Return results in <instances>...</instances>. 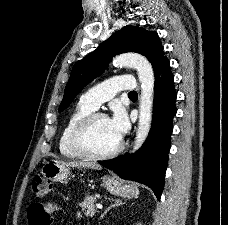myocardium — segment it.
Here are the masks:
<instances>
[{
	"instance_id": "obj_1",
	"label": "myocardium",
	"mask_w": 228,
	"mask_h": 225,
	"mask_svg": "<svg viewBox=\"0 0 228 225\" xmlns=\"http://www.w3.org/2000/svg\"><path fill=\"white\" fill-rule=\"evenodd\" d=\"M108 119L103 113L92 112L75 126L71 135V146L79 154L91 159H106L117 155L123 149V141L120 140L118 145L111 150L105 152L95 151L88 144V134L92 124L98 119Z\"/></svg>"
}]
</instances>
